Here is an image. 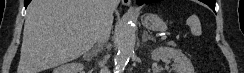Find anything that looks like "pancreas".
Segmentation results:
<instances>
[{
  "label": "pancreas",
  "mask_w": 244,
  "mask_h": 73,
  "mask_svg": "<svg viewBox=\"0 0 244 73\" xmlns=\"http://www.w3.org/2000/svg\"><path fill=\"white\" fill-rule=\"evenodd\" d=\"M168 44L171 46H176V44L174 42H169Z\"/></svg>",
  "instance_id": "pancreas-1"
}]
</instances>
